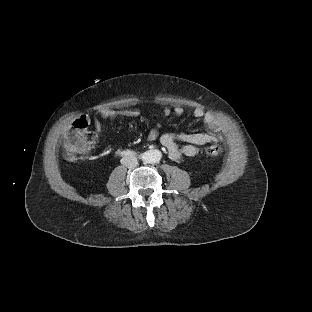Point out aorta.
I'll return each mask as SVG.
<instances>
[{"instance_id": "obj_1", "label": "aorta", "mask_w": 312, "mask_h": 312, "mask_svg": "<svg viewBox=\"0 0 312 312\" xmlns=\"http://www.w3.org/2000/svg\"><path fill=\"white\" fill-rule=\"evenodd\" d=\"M162 159V152L158 149L150 150L147 155V161L149 163H157Z\"/></svg>"}]
</instances>
